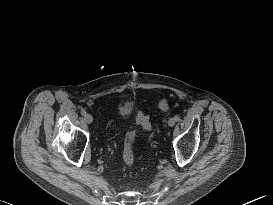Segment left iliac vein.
<instances>
[{
  "instance_id": "4c4485c4",
  "label": "left iliac vein",
  "mask_w": 273,
  "mask_h": 205,
  "mask_svg": "<svg viewBox=\"0 0 273 205\" xmlns=\"http://www.w3.org/2000/svg\"><path fill=\"white\" fill-rule=\"evenodd\" d=\"M175 123H176L175 118H170L169 121H168V124H169L170 127L174 126Z\"/></svg>"
}]
</instances>
